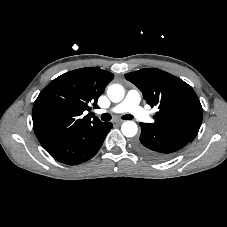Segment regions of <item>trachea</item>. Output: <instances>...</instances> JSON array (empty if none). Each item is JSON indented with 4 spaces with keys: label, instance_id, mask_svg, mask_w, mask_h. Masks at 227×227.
<instances>
[{
    "label": "trachea",
    "instance_id": "trachea-1",
    "mask_svg": "<svg viewBox=\"0 0 227 227\" xmlns=\"http://www.w3.org/2000/svg\"><path fill=\"white\" fill-rule=\"evenodd\" d=\"M122 119H124V120H131V119H133V116H131V115H123L122 116ZM101 120H103V121H109V120H111V115L108 114V113H104V114L101 115Z\"/></svg>",
    "mask_w": 227,
    "mask_h": 227
}]
</instances>
